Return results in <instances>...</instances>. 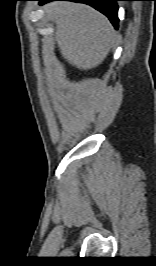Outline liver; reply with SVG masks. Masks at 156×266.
Here are the masks:
<instances>
[{
	"label": "liver",
	"instance_id": "6515ba94",
	"mask_svg": "<svg viewBox=\"0 0 156 266\" xmlns=\"http://www.w3.org/2000/svg\"><path fill=\"white\" fill-rule=\"evenodd\" d=\"M44 8L56 23L55 40L69 64L88 70L104 61L116 39L104 15L80 3L56 2Z\"/></svg>",
	"mask_w": 156,
	"mask_h": 266
}]
</instances>
